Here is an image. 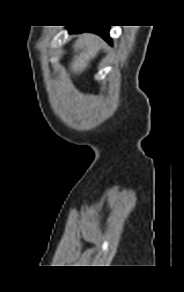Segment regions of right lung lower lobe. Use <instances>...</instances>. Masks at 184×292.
Here are the masks:
<instances>
[{
  "label": "right lung lower lobe",
  "mask_w": 184,
  "mask_h": 292,
  "mask_svg": "<svg viewBox=\"0 0 184 292\" xmlns=\"http://www.w3.org/2000/svg\"><path fill=\"white\" fill-rule=\"evenodd\" d=\"M69 32L81 33L85 31L95 32L101 35L106 40L110 41L109 37V26H68Z\"/></svg>",
  "instance_id": "right-lung-lower-lobe-1"
}]
</instances>
